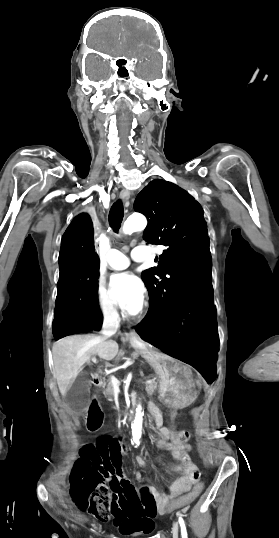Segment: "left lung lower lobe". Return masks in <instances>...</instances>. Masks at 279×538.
Returning a JSON list of instances; mask_svg holds the SVG:
<instances>
[{"mask_svg": "<svg viewBox=\"0 0 279 538\" xmlns=\"http://www.w3.org/2000/svg\"><path fill=\"white\" fill-rule=\"evenodd\" d=\"M142 339L197 369L208 382L216 377L218 331L212 283L184 295L160 320L135 327Z\"/></svg>", "mask_w": 279, "mask_h": 538, "instance_id": "left-lung-lower-lobe-1", "label": "left lung lower lobe"}]
</instances>
